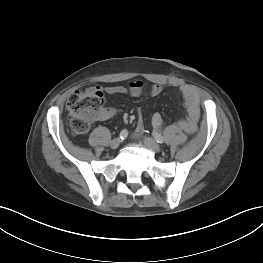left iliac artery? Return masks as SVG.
I'll return each instance as SVG.
<instances>
[{
    "label": "left iliac artery",
    "mask_w": 263,
    "mask_h": 263,
    "mask_svg": "<svg viewBox=\"0 0 263 263\" xmlns=\"http://www.w3.org/2000/svg\"><path fill=\"white\" fill-rule=\"evenodd\" d=\"M152 135L158 143L164 142L163 136L161 134H159L158 132H153Z\"/></svg>",
    "instance_id": "44dca946"
}]
</instances>
